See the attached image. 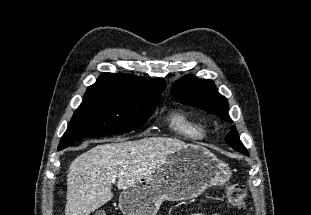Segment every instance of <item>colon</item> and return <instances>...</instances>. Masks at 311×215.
<instances>
[{"label": "colon", "instance_id": "colon-1", "mask_svg": "<svg viewBox=\"0 0 311 215\" xmlns=\"http://www.w3.org/2000/svg\"><path fill=\"white\" fill-rule=\"evenodd\" d=\"M226 195L228 202L237 209L246 207L247 190L243 184L235 183L226 187ZM94 215H108L105 211H97Z\"/></svg>", "mask_w": 311, "mask_h": 215}]
</instances>
